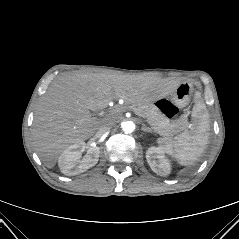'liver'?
Masks as SVG:
<instances>
[{
    "mask_svg": "<svg viewBox=\"0 0 239 239\" xmlns=\"http://www.w3.org/2000/svg\"><path fill=\"white\" fill-rule=\"evenodd\" d=\"M179 83L157 77L110 73L71 72L56 78L41 98L33 120V143L48 168L73 144L89 139L115 116L92 117L113 100L145 104L167 95Z\"/></svg>",
    "mask_w": 239,
    "mask_h": 239,
    "instance_id": "liver-1",
    "label": "liver"
}]
</instances>
